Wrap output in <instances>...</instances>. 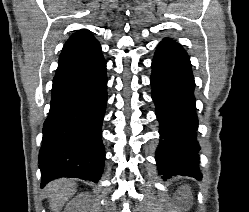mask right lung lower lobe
I'll list each match as a JSON object with an SVG mask.
<instances>
[{"mask_svg": "<svg viewBox=\"0 0 249 212\" xmlns=\"http://www.w3.org/2000/svg\"><path fill=\"white\" fill-rule=\"evenodd\" d=\"M106 103V62L102 54L55 75L39 152L41 187L60 177L98 182L105 160L101 129Z\"/></svg>", "mask_w": 249, "mask_h": 212, "instance_id": "right-lung-lower-lobe-1", "label": "right lung lower lobe"}]
</instances>
